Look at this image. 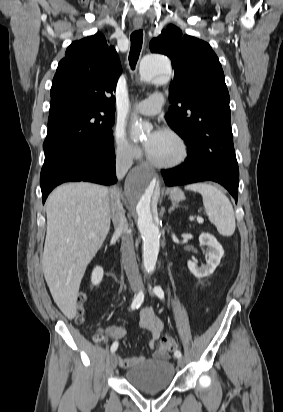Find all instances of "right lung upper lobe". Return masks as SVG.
<instances>
[{"label":"right lung upper lobe","instance_id":"right-lung-upper-lobe-1","mask_svg":"<svg viewBox=\"0 0 283 412\" xmlns=\"http://www.w3.org/2000/svg\"><path fill=\"white\" fill-rule=\"evenodd\" d=\"M121 64L113 47L97 33L73 42L58 65L51 87L49 115L68 108H97L115 113V97Z\"/></svg>","mask_w":283,"mask_h":412}]
</instances>
